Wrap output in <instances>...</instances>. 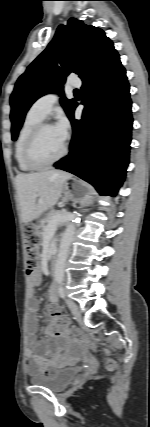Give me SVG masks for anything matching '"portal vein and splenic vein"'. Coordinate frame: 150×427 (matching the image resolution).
<instances>
[{"label":"portal vein and splenic vein","instance_id":"18ae733b","mask_svg":"<svg viewBox=\"0 0 150 427\" xmlns=\"http://www.w3.org/2000/svg\"><path fill=\"white\" fill-rule=\"evenodd\" d=\"M72 214L71 213H67V215L65 216V218H71ZM58 219L60 218V216L57 217Z\"/></svg>","mask_w":150,"mask_h":427}]
</instances>
